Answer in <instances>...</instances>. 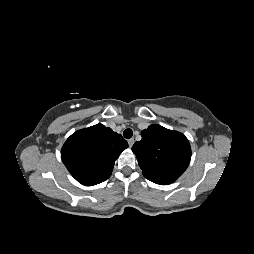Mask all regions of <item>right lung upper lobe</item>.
I'll return each mask as SVG.
<instances>
[{"instance_id": "1", "label": "right lung upper lobe", "mask_w": 254, "mask_h": 254, "mask_svg": "<svg viewBox=\"0 0 254 254\" xmlns=\"http://www.w3.org/2000/svg\"><path fill=\"white\" fill-rule=\"evenodd\" d=\"M128 147L121 134L102 124L73 133L61 150V158L71 175L85 186L108 179L115 160Z\"/></svg>"}]
</instances>
